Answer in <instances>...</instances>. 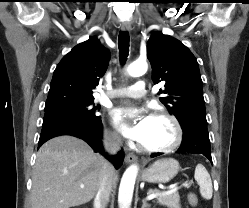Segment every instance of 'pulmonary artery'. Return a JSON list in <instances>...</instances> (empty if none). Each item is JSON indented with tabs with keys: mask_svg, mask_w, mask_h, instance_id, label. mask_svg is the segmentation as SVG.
I'll use <instances>...</instances> for the list:
<instances>
[{
	"mask_svg": "<svg viewBox=\"0 0 249 208\" xmlns=\"http://www.w3.org/2000/svg\"><path fill=\"white\" fill-rule=\"evenodd\" d=\"M147 92L144 81H138L134 85L117 88L110 94V97L141 98Z\"/></svg>",
	"mask_w": 249,
	"mask_h": 208,
	"instance_id": "1",
	"label": "pulmonary artery"
}]
</instances>
